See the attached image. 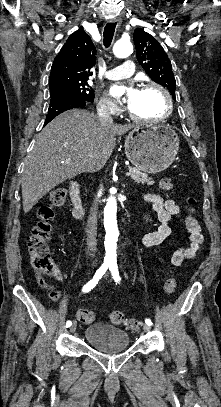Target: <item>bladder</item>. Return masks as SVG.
Segmentation results:
<instances>
[{"mask_svg": "<svg viewBox=\"0 0 221 407\" xmlns=\"http://www.w3.org/2000/svg\"><path fill=\"white\" fill-rule=\"evenodd\" d=\"M86 342L97 350L113 354L124 350L129 343V334L107 323H93L84 331Z\"/></svg>", "mask_w": 221, "mask_h": 407, "instance_id": "31cf9c89", "label": "bladder"}]
</instances>
